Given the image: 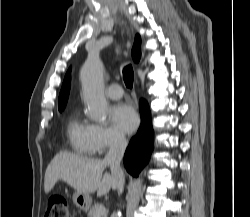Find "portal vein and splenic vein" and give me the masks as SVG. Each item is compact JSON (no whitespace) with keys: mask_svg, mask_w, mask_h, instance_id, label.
Listing matches in <instances>:
<instances>
[{"mask_svg":"<svg viewBox=\"0 0 250 217\" xmlns=\"http://www.w3.org/2000/svg\"><path fill=\"white\" fill-rule=\"evenodd\" d=\"M106 213V208L104 206H100L95 213V217H101Z\"/></svg>","mask_w":250,"mask_h":217,"instance_id":"1","label":"portal vein and splenic vein"}]
</instances>
